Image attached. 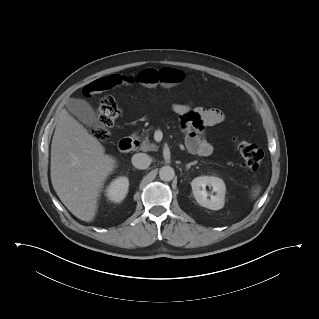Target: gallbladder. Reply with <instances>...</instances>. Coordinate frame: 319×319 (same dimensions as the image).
Returning a JSON list of instances; mask_svg holds the SVG:
<instances>
[{"label": "gallbladder", "instance_id": "gallbladder-1", "mask_svg": "<svg viewBox=\"0 0 319 319\" xmlns=\"http://www.w3.org/2000/svg\"><path fill=\"white\" fill-rule=\"evenodd\" d=\"M66 106L68 110L86 126L93 128L101 126L94 109L87 101L70 98Z\"/></svg>", "mask_w": 319, "mask_h": 319}]
</instances>
